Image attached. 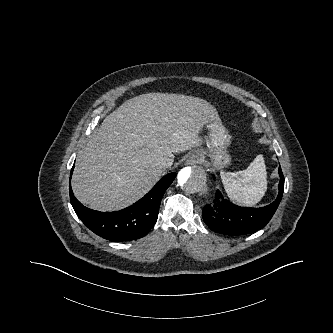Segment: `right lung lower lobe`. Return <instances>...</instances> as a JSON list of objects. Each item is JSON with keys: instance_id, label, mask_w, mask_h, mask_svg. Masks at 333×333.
Listing matches in <instances>:
<instances>
[{"instance_id": "right-lung-lower-lobe-1", "label": "right lung lower lobe", "mask_w": 333, "mask_h": 333, "mask_svg": "<svg viewBox=\"0 0 333 333\" xmlns=\"http://www.w3.org/2000/svg\"><path fill=\"white\" fill-rule=\"evenodd\" d=\"M175 177L174 172L164 176L142 199L120 211L99 212L84 207L73 196L71 185L70 200L77 216L95 234L113 242L135 240L154 226L161 199Z\"/></svg>"}]
</instances>
